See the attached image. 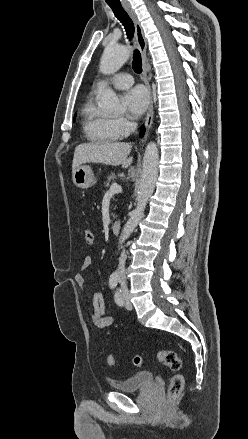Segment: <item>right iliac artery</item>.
<instances>
[{"mask_svg": "<svg viewBox=\"0 0 248 439\" xmlns=\"http://www.w3.org/2000/svg\"><path fill=\"white\" fill-rule=\"evenodd\" d=\"M118 283V275L112 274L109 279V286L111 289H114Z\"/></svg>", "mask_w": 248, "mask_h": 439, "instance_id": "82829eb1", "label": "right iliac artery"}]
</instances>
